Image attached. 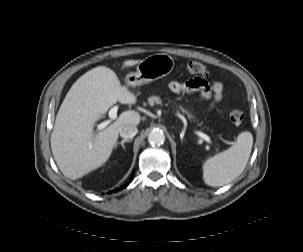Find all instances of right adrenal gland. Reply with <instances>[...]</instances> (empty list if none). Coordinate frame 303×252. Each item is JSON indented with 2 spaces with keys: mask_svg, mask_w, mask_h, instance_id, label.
<instances>
[{
  "mask_svg": "<svg viewBox=\"0 0 303 252\" xmlns=\"http://www.w3.org/2000/svg\"><path fill=\"white\" fill-rule=\"evenodd\" d=\"M131 141H132V139H123L121 142H119V143H117V144L115 145V148H117L118 145H121L122 148L125 149L124 143H125V142H131Z\"/></svg>",
  "mask_w": 303,
  "mask_h": 252,
  "instance_id": "obj_1",
  "label": "right adrenal gland"
}]
</instances>
